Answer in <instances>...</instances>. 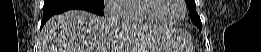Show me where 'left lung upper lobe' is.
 Masks as SVG:
<instances>
[{
    "instance_id": "5c2ea615",
    "label": "left lung upper lobe",
    "mask_w": 261,
    "mask_h": 52,
    "mask_svg": "<svg viewBox=\"0 0 261 52\" xmlns=\"http://www.w3.org/2000/svg\"><path fill=\"white\" fill-rule=\"evenodd\" d=\"M188 7H189V11H190V18L192 20V22L198 26V28L202 29V23L200 20V17L198 16V14L196 13V4L194 0H186Z\"/></svg>"
}]
</instances>
